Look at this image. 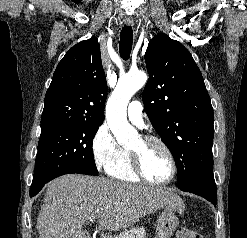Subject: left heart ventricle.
<instances>
[{
    "mask_svg": "<svg viewBox=\"0 0 247 238\" xmlns=\"http://www.w3.org/2000/svg\"><path fill=\"white\" fill-rule=\"evenodd\" d=\"M130 150L140 154L143 171L149 179L162 181L169 177L171 164L166 152L158 144H144L138 138L130 146Z\"/></svg>",
    "mask_w": 247,
    "mask_h": 238,
    "instance_id": "1",
    "label": "left heart ventricle"
}]
</instances>
